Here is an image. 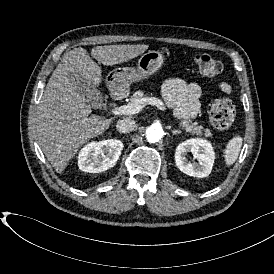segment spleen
Instances as JSON below:
<instances>
[{
	"mask_svg": "<svg viewBox=\"0 0 274 274\" xmlns=\"http://www.w3.org/2000/svg\"><path fill=\"white\" fill-rule=\"evenodd\" d=\"M243 139L240 136H235L229 140L224 151L226 165H232L237 160L241 151Z\"/></svg>",
	"mask_w": 274,
	"mask_h": 274,
	"instance_id": "obj_1",
	"label": "spleen"
}]
</instances>
